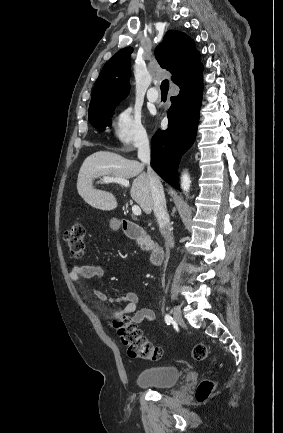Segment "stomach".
Segmentation results:
<instances>
[{"instance_id":"0dacf381","label":"stomach","mask_w":283,"mask_h":433,"mask_svg":"<svg viewBox=\"0 0 283 433\" xmlns=\"http://www.w3.org/2000/svg\"><path fill=\"white\" fill-rule=\"evenodd\" d=\"M121 223L120 221H117V219H113V221H111V227L112 229H114V231H117V229H119Z\"/></svg>"}]
</instances>
